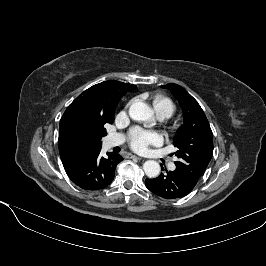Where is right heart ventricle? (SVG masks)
I'll return each mask as SVG.
<instances>
[{"label": "right heart ventricle", "mask_w": 266, "mask_h": 266, "mask_svg": "<svg viewBox=\"0 0 266 266\" xmlns=\"http://www.w3.org/2000/svg\"><path fill=\"white\" fill-rule=\"evenodd\" d=\"M153 107L157 115H162L165 118L170 117L175 112L174 103L164 96H156L153 99Z\"/></svg>", "instance_id": "obj_1"}]
</instances>
